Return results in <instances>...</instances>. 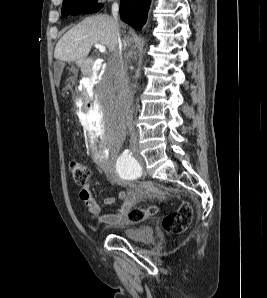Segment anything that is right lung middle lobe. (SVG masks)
Here are the masks:
<instances>
[{
  "mask_svg": "<svg viewBox=\"0 0 267 298\" xmlns=\"http://www.w3.org/2000/svg\"><path fill=\"white\" fill-rule=\"evenodd\" d=\"M101 9V4L97 0H63L62 15H78L94 13Z\"/></svg>",
  "mask_w": 267,
  "mask_h": 298,
  "instance_id": "obj_1",
  "label": "right lung middle lobe"
}]
</instances>
